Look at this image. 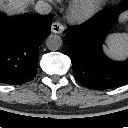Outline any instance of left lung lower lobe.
Returning a JSON list of instances; mask_svg holds the SVG:
<instances>
[{
    "label": "left lung lower lobe",
    "instance_id": "0a47b994",
    "mask_svg": "<svg viewBox=\"0 0 128 128\" xmlns=\"http://www.w3.org/2000/svg\"><path fill=\"white\" fill-rule=\"evenodd\" d=\"M128 9V1L101 11L88 22L68 28L65 36L75 78L90 89H109L128 83V60L115 62L102 52L106 31L117 16Z\"/></svg>",
    "mask_w": 128,
    "mask_h": 128
}]
</instances>
